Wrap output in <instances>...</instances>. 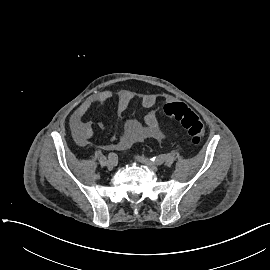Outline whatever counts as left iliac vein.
<instances>
[{"label": "left iliac vein", "mask_w": 270, "mask_h": 270, "mask_svg": "<svg viewBox=\"0 0 270 270\" xmlns=\"http://www.w3.org/2000/svg\"><path fill=\"white\" fill-rule=\"evenodd\" d=\"M138 160L142 163H144L149 169L156 171L158 169V166L150 161H148L145 158H138Z\"/></svg>", "instance_id": "1"}]
</instances>
